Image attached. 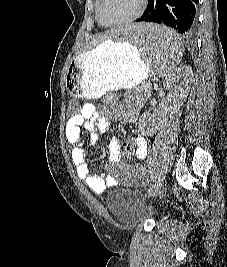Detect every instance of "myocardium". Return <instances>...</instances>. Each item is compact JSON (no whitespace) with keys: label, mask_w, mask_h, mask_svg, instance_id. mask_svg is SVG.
<instances>
[{"label":"myocardium","mask_w":227,"mask_h":267,"mask_svg":"<svg viewBox=\"0 0 227 267\" xmlns=\"http://www.w3.org/2000/svg\"><path fill=\"white\" fill-rule=\"evenodd\" d=\"M102 2H103V0H97V17H98L99 21L102 24L107 25V26H116V25H122V24L133 22V21L137 20L139 17H141V15L146 10L148 0H140L139 8L134 14H132L131 16H129L125 19L115 21V22H107L104 20V18L102 16Z\"/></svg>","instance_id":"f54148a6"}]
</instances>
